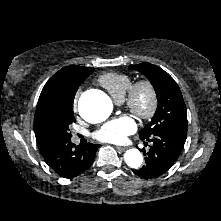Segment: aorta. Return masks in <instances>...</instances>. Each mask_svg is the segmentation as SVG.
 <instances>
[{
  "label": "aorta",
  "mask_w": 221,
  "mask_h": 221,
  "mask_svg": "<svg viewBox=\"0 0 221 221\" xmlns=\"http://www.w3.org/2000/svg\"><path fill=\"white\" fill-rule=\"evenodd\" d=\"M112 109V102L104 93L82 96L78 103L80 115L90 123H99L106 120ZM124 159L131 168H138L143 162L142 154L135 148L127 150Z\"/></svg>",
  "instance_id": "obj_1"
}]
</instances>
